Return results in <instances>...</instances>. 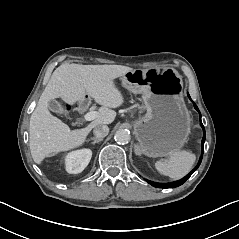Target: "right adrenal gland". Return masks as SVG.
Returning <instances> with one entry per match:
<instances>
[{"label": "right adrenal gland", "mask_w": 239, "mask_h": 239, "mask_svg": "<svg viewBox=\"0 0 239 239\" xmlns=\"http://www.w3.org/2000/svg\"><path fill=\"white\" fill-rule=\"evenodd\" d=\"M104 138H92L91 141H93V145H95L96 143L100 142V141H103Z\"/></svg>", "instance_id": "obj_1"}]
</instances>
